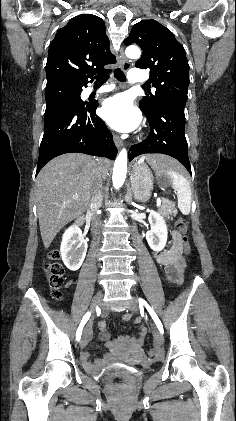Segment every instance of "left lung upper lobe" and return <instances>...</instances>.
<instances>
[{"mask_svg":"<svg viewBox=\"0 0 236 421\" xmlns=\"http://www.w3.org/2000/svg\"><path fill=\"white\" fill-rule=\"evenodd\" d=\"M124 44H137L143 53L135 66L150 69L149 81L156 88L154 94L144 96L139 106L151 114L168 100L187 101L189 64L183 46L174 35L155 20L136 23Z\"/></svg>","mask_w":236,"mask_h":421,"instance_id":"left-lung-upper-lobe-1","label":"left lung upper lobe"}]
</instances>
